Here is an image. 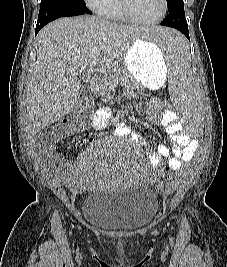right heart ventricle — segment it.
<instances>
[{"mask_svg": "<svg viewBox=\"0 0 227 267\" xmlns=\"http://www.w3.org/2000/svg\"><path fill=\"white\" fill-rule=\"evenodd\" d=\"M105 16L113 20H119V21L127 20L119 9L118 0H113L110 8L105 13Z\"/></svg>", "mask_w": 227, "mask_h": 267, "instance_id": "1", "label": "right heart ventricle"}]
</instances>
